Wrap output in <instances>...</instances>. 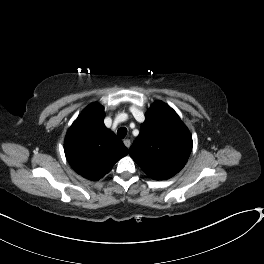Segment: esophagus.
<instances>
[{"instance_id": "obj_1", "label": "esophagus", "mask_w": 264, "mask_h": 264, "mask_svg": "<svg viewBox=\"0 0 264 264\" xmlns=\"http://www.w3.org/2000/svg\"><path fill=\"white\" fill-rule=\"evenodd\" d=\"M123 143H124V145H125L126 147H130V145H131V141H130L129 139H124V140H123Z\"/></svg>"}]
</instances>
